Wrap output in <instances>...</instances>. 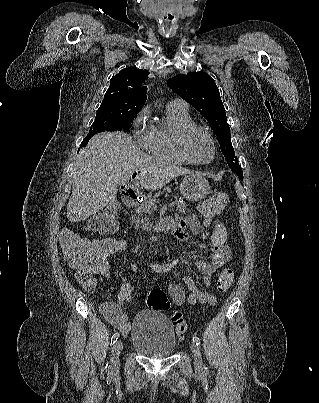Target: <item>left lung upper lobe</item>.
<instances>
[{
  "label": "left lung upper lobe",
  "mask_w": 319,
  "mask_h": 403,
  "mask_svg": "<svg viewBox=\"0 0 319 403\" xmlns=\"http://www.w3.org/2000/svg\"><path fill=\"white\" fill-rule=\"evenodd\" d=\"M167 85L207 119L229 167L242 179V169L232 147L225 108L214 79L205 73L193 72L176 75L167 81Z\"/></svg>",
  "instance_id": "obj_1"
}]
</instances>
